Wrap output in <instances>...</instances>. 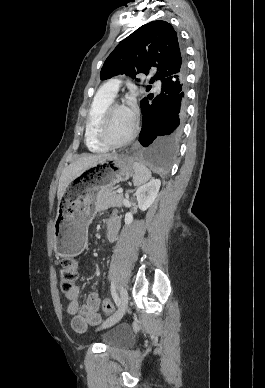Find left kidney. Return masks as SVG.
<instances>
[{
  "label": "left kidney",
  "mask_w": 265,
  "mask_h": 388,
  "mask_svg": "<svg viewBox=\"0 0 265 388\" xmlns=\"http://www.w3.org/2000/svg\"><path fill=\"white\" fill-rule=\"evenodd\" d=\"M160 186V180H150L148 184H145V186H141V188H138L136 192V198L139 210L145 212V210H148V208L152 206L155 198H157ZM132 222L133 214H131V212H127V214H125V224L129 226V224H132Z\"/></svg>",
  "instance_id": "5707ae66"
}]
</instances>
